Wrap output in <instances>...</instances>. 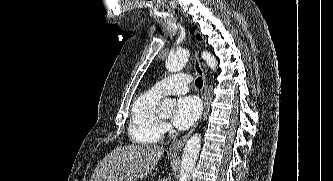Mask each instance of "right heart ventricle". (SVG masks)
<instances>
[{"mask_svg":"<svg viewBox=\"0 0 333 181\" xmlns=\"http://www.w3.org/2000/svg\"><path fill=\"white\" fill-rule=\"evenodd\" d=\"M161 96L153 91L142 93L131 109L129 136L138 144L158 143L162 138L161 120L157 112Z\"/></svg>","mask_w":333,"mask_h":181,"instance_id":"1","label":"right heart ventricle"}]
</instances>
